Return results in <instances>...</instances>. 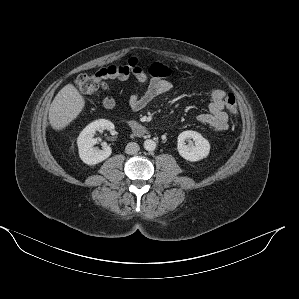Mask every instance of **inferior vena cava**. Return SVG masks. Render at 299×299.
<instances>
[{
	"mask_svg": "<svg viewBox=\"0 0 299 299\" xmlns=\"http://www.w3.org/2000/svg\"><path fill=\"white\" fill-rule=\"evenodd\" d=\"M140 147L137 143L135 142H130L126 145V148H125V152L127 154H136L138 151H139Z\"/></svg>",
	"mask_w": 299,
	"mask_h": 299,
	"instance_id": "obj_1",
	"label": "inferior vena cava"
}]
</instances>
